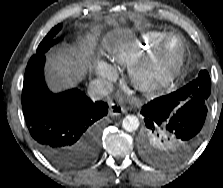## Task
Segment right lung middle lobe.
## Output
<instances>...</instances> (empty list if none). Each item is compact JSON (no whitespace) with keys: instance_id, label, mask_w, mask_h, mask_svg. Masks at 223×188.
Masks as SVG:
<instances>
[{"instance_id":"1","label":"right lung middle lobe","mask_w":223,"mask_h":188,"mask_svg":"<svg viewBox=\"0 0 223 188\" xmlns=\"http://www.w3.org/2000/svg\"><path fill=\"white\" fill-rule=\"evenodd\" d=\"M61 29V24H58L54 28L51 29V31L45 36V38L42 40V42L39 44L36 54H44L51 46H53L57 40L54 39L58 31Z\"/></svg>"}]
</instances>
